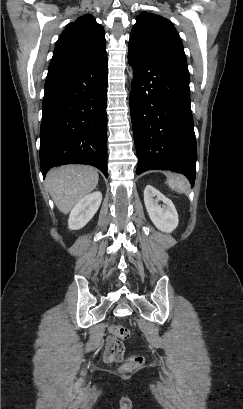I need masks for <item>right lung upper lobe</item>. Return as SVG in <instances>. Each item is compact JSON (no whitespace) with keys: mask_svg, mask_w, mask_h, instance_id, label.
<instances>
[{"mask_svg":"<svg viewBox=\"0 0 243 409\" xmlns=\"http://www.w3.org/2000/svg\"><path fill=\"white\" fill-rule=\"evenodd\" d=\"M106 51L105 32L90 14L69 23L61 33L48 73L83 64Z\"/></svg>","mask_w":243,"mask_h":409,"instance_id":"right-lung-upper-lobe-1","label":"right lung upper lobe"}]
</instances>
